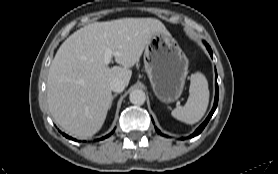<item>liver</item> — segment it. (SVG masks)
<instances>
[{"instance_id": "6515ba94", "label": "liver", "mask_w": 278, "mask_h": 174, "mask_svg": "<svg viewBox=\"0 0 278 174\" xmlns=\"http://www.w3.org/2000/svg\"><path fill=\"white\" fill-rule=\"evenodd\" d=\"M164 24L154 18H122L88 24L71 34L58 49L49 68L47 103L55 121L75 137L93 136L103 126L112 104L110 82L125 86L150 37ZM110 49L115 62L110 68L104 53Z\"/></svg>"}]
</instances>
